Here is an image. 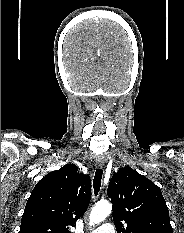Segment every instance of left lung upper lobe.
<instances>
[{
    "instance_id": "obj_1",
    "label": "left lung upper lobe",
    "mask_w": 184,
    "mask_h": 233,
    "mask_svg": "<svg viewBox=\"0 0 184 233\" xmlns=\"http://www.w3.org/2000/svg\"><path fill=\"white\" fill-rule=\"evenodd\" d=\"M107 195L117 233H173L160 188L131 167L112 176Z\"/></svg>"
}]
</instances>
